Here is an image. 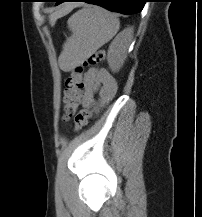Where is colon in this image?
Here are the masks:
<instances>
[{
	"label": "colon",
	"instance_id": "1",
	"mask_svg": "<svg viewBox=\"0 0 202 217\" xmlns=\"http://www.w3.org/2000/svg\"><path fill=\"white\" fill-rule=\"evenodd\" d=\"M104 59V51L100 50L94 52L82 64L77 65L66 80L63 98V119L66 121L74 116L76 131L83 129L91 116V111L88 109H81L77 112L84 88L82 77L83 69L86 65L99 64Z\"/></svg>",
	"mask_w": 202,
	"mask_h": 217
}]
</instances>
